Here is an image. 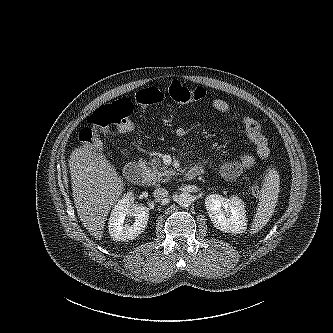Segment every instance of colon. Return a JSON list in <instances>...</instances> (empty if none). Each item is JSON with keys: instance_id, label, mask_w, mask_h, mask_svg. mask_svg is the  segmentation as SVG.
<instances>
[{"instance_id": "1", "label": "colon", "mask_w": 333, "mask_h": 333, "mask_svg": "<svg viewBox=\"0 0 333 333\" xmlns=\"http://www.w3.org/2000/svg\"><path fill=\"white\" fill-rule=\"evenodd\" d=\"M169 98L177 104H188L205 98L206 91L201 87H186L174 80L168 88ZM164 93L156 88L149 87L137 92L135 100L140 107L156 105L164 100ZM135 104L127 98L119 99L110 104L100 106L87 121V126L79 134L80 140L92 147L98 148L101 144V136L112 132H130L134 128L132 114ZM262 191L258 185L250 187L252 194H260Z\"/></svg>"}]
</instances>
